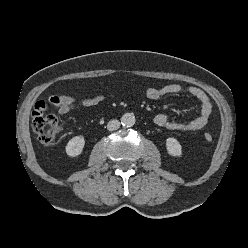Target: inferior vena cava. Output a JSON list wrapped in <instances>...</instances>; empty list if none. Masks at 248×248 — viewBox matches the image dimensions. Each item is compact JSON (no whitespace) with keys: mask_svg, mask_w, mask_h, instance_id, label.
Here are the masks:
<instances>
[{"mask_svg":"<svg viewBox=\"0 0 248 248\" xmlns=\"http://www.w3.org/2000/svg\"><path fill=\"white\" fill-rule=\"evenodd\" d=\"M119 127H120V122L118 120H111L107 124V129L109 131L117 130L119 129Z\"/></svg>","mask_w":248,"mask_h":248,"instance_id":"602c4592","label":"inferior vena cava"}]
</instances>
